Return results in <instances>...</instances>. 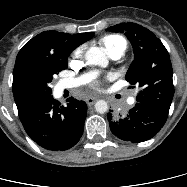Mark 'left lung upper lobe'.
Returning <instances> with one entry per match:
<instances>
[{"instance_id":"1","label":"left lung upper lobe","mask_w":187,"mask_h":187,"mask_svg":"<svg viewBox=\"0 0 187 187\" xmlns=\"http://www.w3.org/2000/svg\"><path fill=\"white\" fill-rule=\"evenodd\" d=\"M124 33L134 51L126 80L138 88L137 102L168 113L174 95L173 70L168 51L154 33L135 23H121L107 29Z\"/></svg>"}]
</instances>
